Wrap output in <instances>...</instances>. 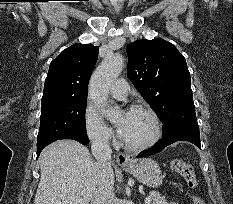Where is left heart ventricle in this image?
I'll list each match as a JSON object with an SVG mask.
<instances>
[{"label": "left heart ventricle", "instance_id": "1", "mask_svg": "<svg viewBox=\"0 0 233 204\" xmlns=\"http://www.w3.org/2000/svg\"><path fill=\"white\" fill-rule=\"evenodd\" d=\"M116 124L122 128L124 140L133 145L147 142L154 132V125L150 116L143 112L122 113Z\"/></svg>", "mask_w": 233, "mask_h": 204}]
</instances>
